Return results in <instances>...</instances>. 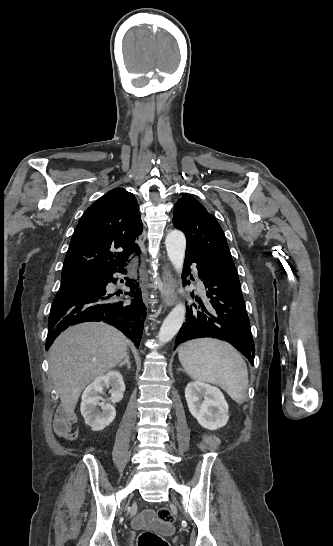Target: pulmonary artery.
I'll return each mask as SVG.
<instances>
[{"mask_svg": "<svg viewBox=\"0 0 333 546\" xmlns=\"http://www.w3.org/2000/svg\"><path fill=\"white\" fill-rule=\"evenodd\" d=\"M199 285H202V283L199 281Z\"/></svg>", "mask_w": 333, "mask_h": 546, "instance_id": "obj_1", "label": "pulmonary artery"}]
</instances>
